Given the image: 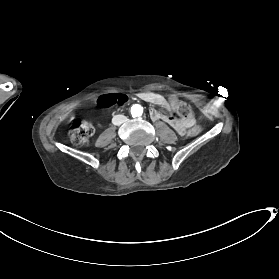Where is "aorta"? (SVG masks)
<instances>
[{
  "mask_svg": "<svg viewBox=\"0 0 279 279\" xmlns=\"http://www.w3.org/2000/svg\"><path fill=\"white\" fill-rule=\"evenodd\" d=\"M143 113V108L139 104H135L131 107V114L133 117H140Z\"/></svg>",
  "mask_w": 279,
  "mask_h": 279,
  "instance_id": "1",
  "label": "aorta"
}]
</instances>
